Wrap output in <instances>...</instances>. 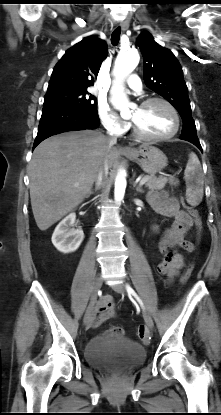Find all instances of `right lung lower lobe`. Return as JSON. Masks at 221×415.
Listing matches in <instances>:
<instances>
[{"mask_svg":"<svg viewBox=\"0 0 221 415\" xmlns=\"http://www.w3.org/2000/svg\"><path fill=\"white\" fill-rule=\"evenodd\" d=\"M99 125L98 114L69 106L44 105L33 149L52 135L74 130L95 129Z\"/></svg>","mask_w":221,"mask_h":415,"instance_id":"1","label":"right lung lower lobe"}]
</instances>
